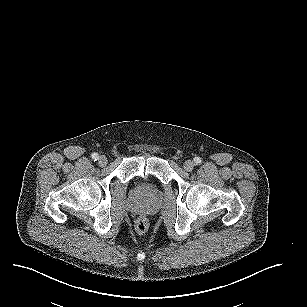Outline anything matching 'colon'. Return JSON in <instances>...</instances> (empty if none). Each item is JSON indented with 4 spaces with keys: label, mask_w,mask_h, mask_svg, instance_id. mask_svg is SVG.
Instances as JSON below:
<instances>
[{
    "label": "colon",
    "mask_w": 307,
    "mask_h": 307,
    "mask_svg": "<svg viewBox=\"0 0 307 307\" xmlns=\"http://www.w3.org/2000/svg\"><path fill=\"white\" fill-rule=\"evenodd\" d=\"M149 228V221L146 217L142 216L139 217L136 221V230L143 234L145 233Z\"/></svg>",
    "instance_id": "colon-1"
}]
</instances>
